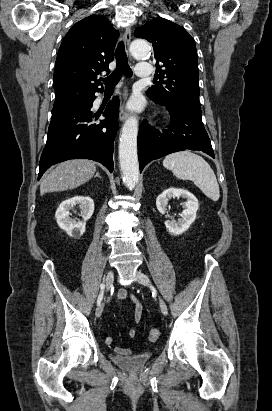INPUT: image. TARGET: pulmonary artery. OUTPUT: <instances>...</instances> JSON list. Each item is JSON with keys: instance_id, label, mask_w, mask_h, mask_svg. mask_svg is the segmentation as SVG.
<instances>
[{"instance_id": "obj_1", "label": "pulmonary artery", "mask_w": 272, "mask_h": 411, "mask_svg": "<svg viewBox=\"0 0 272 411\" xmlns=\"http://www.w3.org/2000/svg\"><path fill=\"white\" fill-rule=\"evenodd\" d=\"M136 74L140 78H149L151 76V66L148 63L140 62L136 67Z\"/></svg>"}]
</instances>
